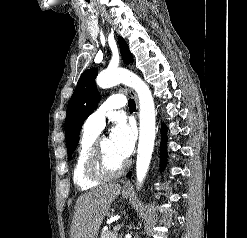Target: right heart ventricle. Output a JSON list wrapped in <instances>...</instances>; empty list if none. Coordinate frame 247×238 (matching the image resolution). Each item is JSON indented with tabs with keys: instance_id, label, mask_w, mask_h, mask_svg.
Here are the masks:
<instances>
[{
	"instance_id": "1",
	"label": "right heart ventricle",
	"mask_w": 247,
	"mask_h": 238,
	"mask_svg": "<svg viewBox=\"0 0 247 238\" xmlns=\"http://www.w3.org/2000/svg\"><path fill=\"white\" fill-rule=\"evenodd\" d=\"M99 132L84 128L73 166L74 184L81 190H89L99 185L102 180L91 179L85 172V164Z\"/></svg>"
}]
</instances>
